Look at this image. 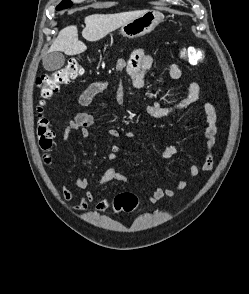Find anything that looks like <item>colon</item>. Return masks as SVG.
<instances>
[{
	"mask_svg": "<svg viewBox=\"0 0 249 294\" xmlns=\"http://www.w3.org/2000/svg\"><path fill=\"white\" fill-rule=\"evenodd\" d=\"M181 52L184 60L192 65L201 64L206 59V53L200 47H183ZM82 73L83 68L80 59L72 58L62 68L38 77L37 85L41 100L37 107V136L38 144L43 151L51 150L55 139V131L50 127V122L43 113L45 100L55 94L61 85L80 77ZM45 160H50L49 155L45 156ZM137 205L138 199L132 193L118 194L113 201V209L117 213L132 212Z\"/></svg>",
	"mask_w": 249,
	"mask_h": 294,
	"instance_id": "obj_1",
	"label": "colon"
}]
</instances>
